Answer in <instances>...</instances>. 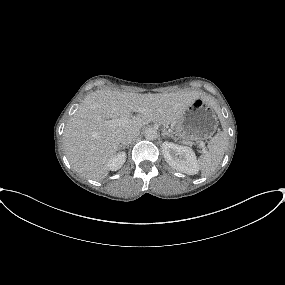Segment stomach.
Here are the masks:
<instances>
[{
    "mask_svg": "<svg viewBox=\"0 0 285 285\" xmlns=\"http://www.w3.org/2000/svg\"><path fill=\"white\" fill-rule=\"evenodd\" d=\"M218 126L215 108L199 98L190 104L175 122L176 135L185 141L205 140L212 137Z\"/></svg>",
    "mask_w": 285,
    "mask_h": 285,
    "instance_id": "0dacf381",
    "label": "stomach"
}]
</instances>
